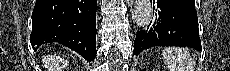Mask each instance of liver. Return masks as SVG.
I'll return each mask as SVG.
<instances>
[{
  "label": "liver",
  "mask_w": 230,
  "mask_h": 71,
  "mask_svg": "<svg viewBox=\"0 0 230 71\" xmlns=\"http://www.w3.org/2000/svg\"><path fill=\"white\" fill-rule=\"evenodd\" d=\"M45 67L49 71H59L67 65V61L57 60L53 57H47L44 59ZM62 64V65H61Z\"/></svg>",
  "instance_id": "liver-1"
}]
</instances>
